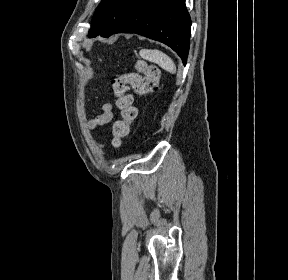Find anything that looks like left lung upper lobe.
I'll return each instance as SVG.
<instances>
[{
    "label": "left lung upper lobe",
    "mask_w": 288,
    "mask_h": 280,
    "mask_svg": "<svg viewBox=\"0 0 288 280\" xmlns=\"http://www.w3.org/2000/svg\"><path fill=\"white\" fill-rule=\"evenodd\" d=\"M140 0H102L97 7L89 31V37H109L127 13Z\"/></svg>",
    "instance_id": "obj_1"
}]
</instances>
